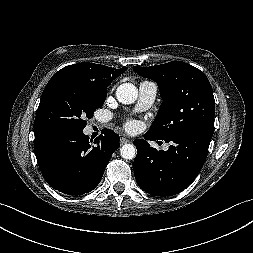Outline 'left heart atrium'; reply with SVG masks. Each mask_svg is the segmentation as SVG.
Returning a JSON list of instances; mask_svg holds the SVG:
<instances>
[{"label":"left heart atrium","instance_id":"39dd6f15","mask_svg":"<svg viewBox=\"0 0 253 253\" xmlns=\"http://www.w3.org/2000/svg\"><path fill=\"white\" fill-rule=\"evenodd\" d=\"M134 126H135V124L130 122V123L127 124L126 127H127L128 130H132L134 128Z\"/></svg>","mask_w":253,"mask_h":253}]
</instances>
